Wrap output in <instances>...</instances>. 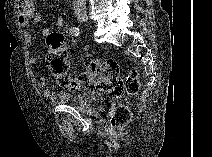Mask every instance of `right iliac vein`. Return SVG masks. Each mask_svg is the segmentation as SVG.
<instances>
[{
	"label": "right iliac vein",
	"instance_id": "right-iliac-vein-1",
	"mask_svg": "<svg viewBox=\"0 0 212 157\" xmlns=\"http://www.w3.org/2000/svg\"><path fill=\"white\" fill-rule=\"evenodd\" d=\"M77 18H78V20L80 22H84L85 23V22L88 21V16H87L86 13H80V14H78Z\"/></svg>",
	"mask_w": 212,
	"mask_h": 157
}]
</instances>
